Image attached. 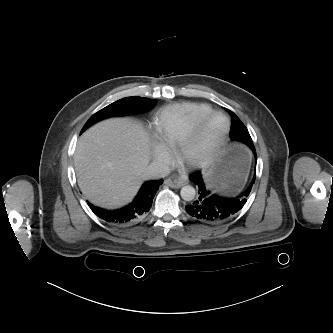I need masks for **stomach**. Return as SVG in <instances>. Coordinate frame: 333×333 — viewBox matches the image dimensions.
<instances>
[{"label": "stomach", "mask_w": 333, "mask_h": 333, "mask_svg": "<svg viewBox=\"0 0 333 333\" xmlns=\"http://www.w3.org/2000/svg\"><path fill=\"white\" fill-rule=\"evenodd\" d=\"M250 160V154L241 146L225 149L206 174L208 186L226 195L237 193L246 176Z\"/></svg>", "instance_id": "stomach-1"}]
</instances>
